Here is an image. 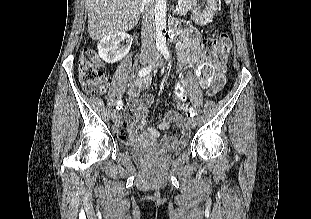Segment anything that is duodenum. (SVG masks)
<instances>
[{
  "instance_id": "1",
  "label": "duodenum",
  "mask_w": 311,
  "mask_h": 219,
  "mask_svg": "<svg viewBox=\"0 0 311 219\" xmlns=\"http://www.w3.org/2000/svg\"><path fill=\"white\" fill-rule=\"evenodd\" d=\"M171 38L174 39L177 33H180L185 30V26L183 24L172 21L169 26Z\"/></svg>"
}]
</instances>
